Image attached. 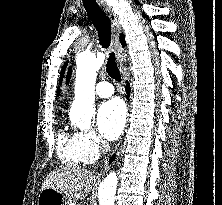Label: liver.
I'll return each mask as SVG.
<instances>
[{"label": "liver", "instance_id": "obj_1", "mask_svg": "<svg viewBox=\"0 0 222 205\" xmlns=\"http://www.w3.org/2000/svg\"><path fill=\"white\" fill-rule=\"evenodd\" d=\"M97 186L94 171L73 165L49 173L42 189L51 188L62 192L68 199H84Z\"/></svg>", "mask_w": 222, "mask_h": 205}]
</instances>
